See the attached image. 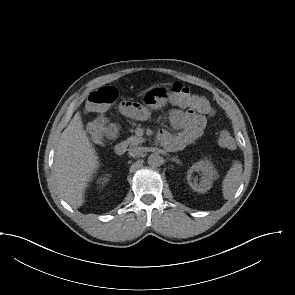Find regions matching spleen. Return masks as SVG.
Segmentation results:
<instances>
[{
  "instance_id": "spleen-1",
  "label": "spleen",
  "mask_w": 295,
  "mask_h": 295,
  "mask_svg": "<svg viewBox=\"0 0 295 295\" xmlns=\"http://www.w3.org/2000/svg\"><path fill=\"white\" fill-rule=\"evenodd\" d=\"M242 164L234 161L222 182V193L225 199H230L239 187L242 176Z\"/></svg>"
}]
</instances>
